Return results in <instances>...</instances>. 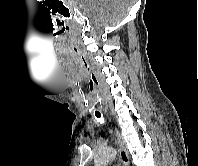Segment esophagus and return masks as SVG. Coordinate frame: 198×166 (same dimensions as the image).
Here are the masks:
<instances>
[{
  "instance_id": "34e87169",
  "label": "esophagus",
  "mask_w": 198,
  "mask_h": 166,
  "mask_svg": "<svg viewBox=\"0 0 198 166\" xmlns=\"http://www.w3.org/2000/svg\"><path fill=\"white\" fill-rule=\"evenodd\" d=\"M116 136L120 160L123 166H130L129 155L126 150V144L118 130H116Z\"/></svg>"
}]
</instances>
